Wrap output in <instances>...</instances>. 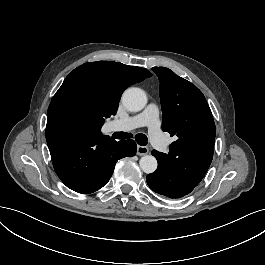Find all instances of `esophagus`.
I'll use <instances>...</instances> for the list:
<instances>
[{
  "label": "esophagus",
  "instance_id": "obj_1",
  "mask_svg": "<svg viewBox=\"0 0 265 265\" xmlns=\"http://www.w3.org/2000/svg\"><path fill=\"white\" fill-rule=\"evenodd\" d=\"M148 152H149V148L148 147H146V146H140V145L137 146V152H136V154L138 156L146 155V154H148Z\"/></svg>",
  "mask_w": 265,
  "mask_h": 265
}]
</instances>
